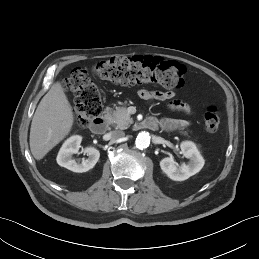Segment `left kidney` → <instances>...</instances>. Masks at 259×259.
I'll return each instance as SVG.
<instances>
[{
	"label": "left kidney",
	"instance_id": "left-kidney-1",
	"mask_svg": "<svg viewBox=\"0 0 259 259\" xmlns=\"http://www.w3.org/2000/svg\"><path fill=\"white\" fill-rule=\"evenodd\" d=\"M180 147L183 156L190 160L188 164L178 166L172 157H166L160 161L162 171L174 181H184L195 175L203 168L205 163L195 143L184 141Z\"/></svg>",
	"mask_w": 259,
	"mask_h": 259
}]
</instances>
